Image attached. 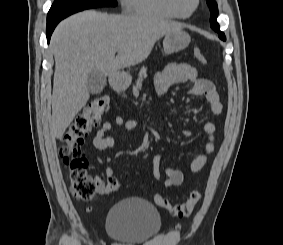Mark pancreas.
<instances>
[{
  "label": "pancreas",
  "mask_w": 283,
  "mask_h": 245,
  "mask_svg": "<svg viewBox=\"0 0 283 245\" xmlns=\"http://www.w3.org/2000/svg\"><path fill=\"white\" fill-rule=\"evenodd\" d=\"M146 72H147V68L142 67L141 70H140V72H139V78H138V80H137V82H136V85L133 86V93H134L135 96L138 95L139 90H140L141 87H142L143 79H145V78L147 77Z\"/></svg>",
  "instance_id": "obj_1"
}]
</instances>
